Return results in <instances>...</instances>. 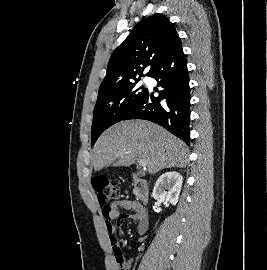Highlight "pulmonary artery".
I'll list each match as a JSON object with an SVG mask.
<instances>
[{
  "instance_id": "obj_1",
  "label": "pulmonary artery",
  "mask_w": 267,
  "mask_h": 270,
  "mask_svg": "<svg viewBox=\"0 0 267 270\" xmlns=\"http://www.w3.org/2000/svg\"><path fill=\"white\" fill-rule=\"evenodd\" d=\"M145 81H148V78H145Z\"/></svg>"
}]
</instances>
